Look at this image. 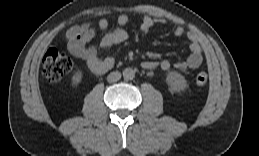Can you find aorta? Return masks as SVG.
I'll return each instance as SVG.
<instances>
[{"mask_svg": "<svg viewBox=\"0 0 259 156\" xmlns=\"http://www.w3.org/2000/svg\"><path fill=\"white\" fill-rule=\"evenodd\" d=\"M123 77L125 80H132L135 77V71L132 68H125L123 70Z\"/></svg>", "mask_w": 259, "mask_h": 156, "instance_id": "obj_1", "label": "aorta"}]
</instances>
